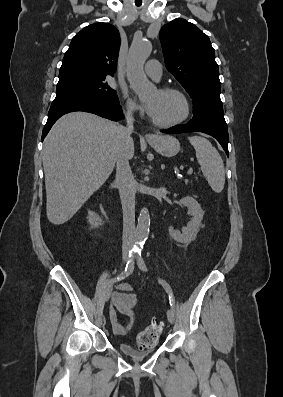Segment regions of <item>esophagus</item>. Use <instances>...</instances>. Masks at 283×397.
<instances>
[{"label":"esophagus","instance_id":"34e87169","mask_svg":"<svg viewBox=\"0 0 283 397\" xmlns=\"http://www.w3.org/2000/svg\"><path fill=\"white\" fill-rule=\"evenodd\" d=\"M145 137L147 140H153L155 138V135L154 134H146Z\"/></svg>","mask_w":283,"mask_h":397}]
</instances>
